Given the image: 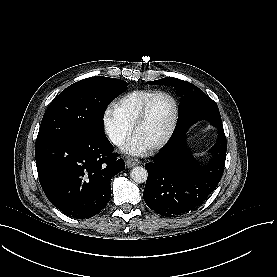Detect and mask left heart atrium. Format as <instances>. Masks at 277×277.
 Returning a JSON list of instances; mask_svg holds the SVG:
<instances>
[{
    "label": "left heart atrium",
    "instance_id": "39dd6f15",
    "mask_svg": "<svg viewBox=\"0 0 277 277\" xmlns=\"http://www.w3.org/2000/svg\"><path fill=\"white\" fill-rule=\"evenodd\" d=\"M123 150L132 155H141L145 152V144L138 138H131L124 144Z\"/></svg>",
    "mask_w": 277,
    "mask_h": 277
}]
</instances>
